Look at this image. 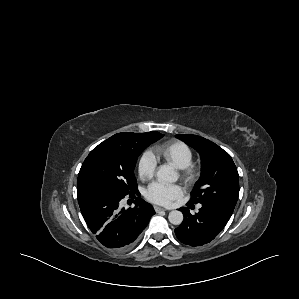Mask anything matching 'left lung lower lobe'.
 <instances>
[{"label":"left lung lower lobe","instance_id":"left-lung-lower-lobe-1","mask_svg":"<svg viewBox=\"0 0 299 299\" xmlns=\"http://www.w3.org/2000/svg\"><path fill=\"white\" fill-rule=\"evenodd\" d=\"M184 220L175 229L177 238L190 246H201L213 240L229 221L231 214L215 205L202 204L199 212L190 214L188 208L182 207Z\"/></svg>","mask_w":299,"mask_h":299}]
</instances>
